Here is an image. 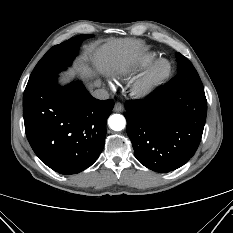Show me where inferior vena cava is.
<instances>
[{
  "instance_id": "602c4592",
  "label": "inferior vena cava",
  "mask_w": 233,
  "mask_h": 233,
  "mask_svg": "<svg viewBox=\"0 0 233 233\" xmlns=\"http://www.w3.org/2000/svg\"><path fill=\"white\" fill-rule=\"evenodd\" d=\"M93 96L100 100L109 98V93L105 89H97L93 92Z\"/></svg>"
}]
</instances>
